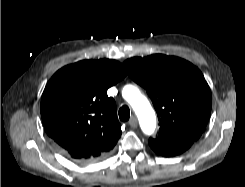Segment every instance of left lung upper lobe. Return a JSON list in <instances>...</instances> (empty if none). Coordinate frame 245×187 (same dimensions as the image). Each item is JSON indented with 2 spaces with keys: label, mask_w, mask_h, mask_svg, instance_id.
Masks as SVG:
<instances>
[{
  "label": "left lung upper lobe",
  "mask_w": 245,
  "mask_h": 187,
  "mask_svg": "<svg viewBox=\"0 0 245 187\" xmlns=\"http://www.w3.org/2000/svg\"><path fill=\"white\" fill-rule=\"evenodd\" d=\"M130 77L149 94L159 119L161 141H197L211 113L212 96L201 71L162 54L124 62Z\"/></svg>",
  "instance_id": "obj_1"
}]
</instances>
